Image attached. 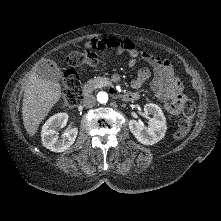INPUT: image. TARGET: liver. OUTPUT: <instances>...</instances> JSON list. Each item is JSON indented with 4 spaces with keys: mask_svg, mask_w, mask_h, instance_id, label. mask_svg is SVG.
<instances>
[{
    "mask_svg": "<svg viewBox=\"0 0 221 221\" xmlns=\"http://www.w3.org/2000/svg\"><path fill=\"white\" fill-rule=\"evenodd\" d=\"M61 86L57 82L45 80L34 69L27 77L24 86L22 118L30 136H34L40 123L60 100Z\"/></svg>",
    "mask_w": 221,
    "mask_h": 221,
    "instance_id": "6515ba94",
    "label": "liver"
}]
</instances>
